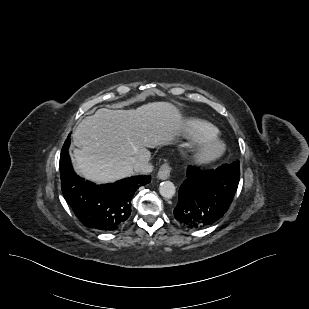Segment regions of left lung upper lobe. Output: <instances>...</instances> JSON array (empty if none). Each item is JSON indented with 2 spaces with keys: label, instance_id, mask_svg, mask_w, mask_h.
<instances>
[{
  "label": "left lung upper lobe",
  "instance_id": "left-lung-upper-lobe-1",
  "mask_svg": "<svg viewBox=\"0 0 309 309\" xmlns=\"http://www.w3.org/2000/svg\"><path fill=\"white\" fill-rule=\"evenodd\" d=\"M234 169H236L237 171H240V162L237 160L233 163L230 164Z\"/></svg>",
  "mask_w": 309,
  "mask_h": 309
}]
</instances>
